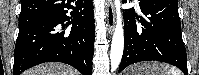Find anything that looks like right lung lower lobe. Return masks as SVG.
I'll return each mask as SVG.
<instances>
[{"label":"right lung lower lobe","mask_w":199,"mask_h":75,"mask_svg":"<svg viewBox=\"0 0 199 75\" xmlns=\"http://www.w3.org/2000/svg\"><path fill=\"white\" fill-rule=\"evenodd\" d=\"M94 29L92 0H21L13 75L50 61L91 75Z\"/></svg>","instance_id":"obj_1"}]
</instances>
